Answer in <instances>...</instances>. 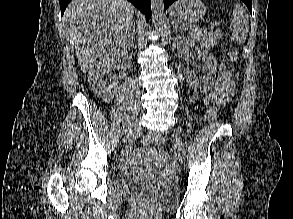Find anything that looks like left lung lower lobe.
I'll use <instances>...</instances> for the list:
<instances>
[{"label": "left lung lower lobe", "mask_w": 293, "mask_h": 219, "mask_svg": "<svg viewBox=\"0 0 293 219\" xmlns=\"http://www.w3.org/2000/svg\"><path fill=\"white\" fill-rule=\"evenodd\" d=\"M176 0H164V8L167 9ZM248 7L250 13L252 14V0H242Z\"/></svg>", "instance_id": "obj_1"}]
</instances>
